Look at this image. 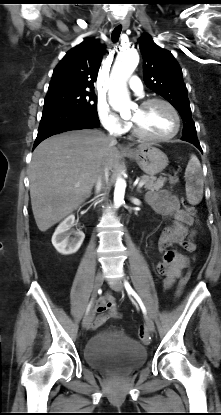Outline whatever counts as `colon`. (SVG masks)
I'll return each mask as SVG.
<instances>
[{"label":"colon","mask_w":221,"mask_h":415,"mask_svg":"<svg viewBox=\"0 0 221 415\" xmlns=\"http://www.w3.org/2000/svg\"><path fill=\"white\" fill-rule=\"evenodd\" d=\"M170 178H171L170 187L172 189H177L179 187L180 183H181V180H180L179 177H177V174L174 170L171 171ZM185 200H186L185 196H182L181 199H180V202L183 203L184 209L186 210L187 213H189L190 215L196 217L197 216V210H196L195 206L185 202ZM188 278H189V274H186L180 280L179 287H178L177 292H176V298L180 297V295L182 294V291H183V289H184V287H185V285L188 281ZM121 333H122L121 329H114V334L119 335ZM138 336L142 341H148L149 340V334L147 332L146 327L141 326L139 328Z\"/></svg>","instance_id":"colon-1"}]
</instances>
